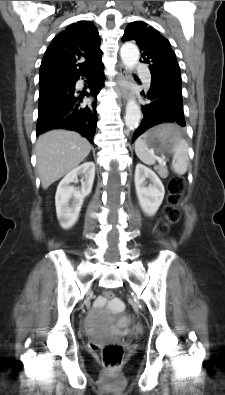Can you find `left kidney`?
Listing matches in <instances>:
<instances>
[{"label": "left kidney", "instance_id": "1", "mask_svg": "<svg viewBox=\"0 0 225 395\" xmlns=\"http://www.w3.org/2000/svg\"><path fill=\"white\" fill-rule=\"evenodd\" d=\"M146 179L151 181L148 186H146ZM135 187L142 210L147 215L153 216L159 209L165 194L161 180L150 168L138 163L135 169Z\"/></svg>", "mask_w": 225, "mask_h": 395}]
</instances>
